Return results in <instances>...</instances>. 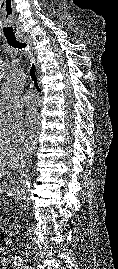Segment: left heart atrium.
Returning <instances> with one entry per match:
<instances>
[{"instance_id": "39dd6f15", "label": "left heart atrium", "mask_w": 118, "mask_h": 269, "mask_svg": "<svg viewBox=\"0 0 118 269\" xmlns=\"http://www.w3.org/2000/svg\"><path fill=\"white\" fill-rule=\"evenodd\" d=\"M27 120L28 123L34 127L38 124L39 122V115L37 113V111L35 109H32L29 111L28 115H27Z\"/></svg>"}]
</instances>
